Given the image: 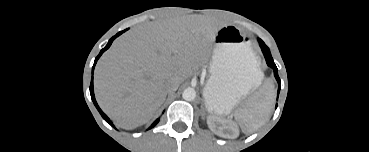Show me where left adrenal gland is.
<instances>
[{
    "mask_svg": "<svg viewBox=\"0 0 369 152\" xmlns=\"http://www.w3.org/2000/svg\"><path fill=\"white\" fill-rule=\"evenodd\" d=\"M202 110L204 111L203 104L201 105Z\"/></svg>",
    "mask_w": 369,
    "mask_h": 152,
    "instance_id": "left-adrenal-gland-1",
    "label": "left adrenal gland"
}]
</instances>
